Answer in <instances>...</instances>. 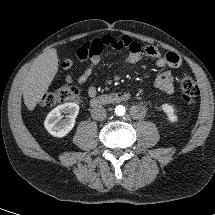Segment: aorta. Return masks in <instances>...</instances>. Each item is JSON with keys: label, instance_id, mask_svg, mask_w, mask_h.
Masks as SVG:
<instances>
[{"label": "aorta", "instance_id": "1", "mask_svg": "<svg viewBox=\"0 0 215 215\" xmlns=\"http://www.w3.org/2000/svg\"><path fill=\"white\" fill-rule=\"evenodd\" d=\"M115 113L119 116H122L125 114V107L122 105H119L115 108Z\"/></svg>", "mask_w": 215, "mask_h": 215}]
</instances>
